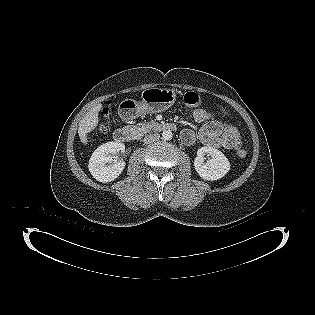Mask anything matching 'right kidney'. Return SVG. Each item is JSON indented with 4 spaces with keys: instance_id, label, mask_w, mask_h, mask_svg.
<instances>
[{
    "instance_id": "right-kidney-1",
    "label": "right kidney",
    "mask_w": 315,
    "mask_h": 315,
    "mask_svg": "<svg viewBox=\"0 0 315 315\" xmlns=\"http://www.w3.org/2000/svg\"><path fill=\"white\" fill-rule=\"evenodd\" d=\"M125 150L120 142H107L99 146L89 160V171L99 182L107 183L115 180L125 168V162L117 160L115 154Z\"/></svg>"
}]
</instances>
